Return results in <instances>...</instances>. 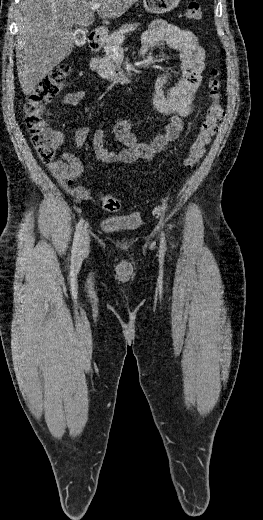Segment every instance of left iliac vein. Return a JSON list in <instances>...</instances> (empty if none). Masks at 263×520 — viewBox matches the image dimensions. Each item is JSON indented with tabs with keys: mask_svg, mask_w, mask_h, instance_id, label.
Segmentation results:
<instances>
[{
	"mask_svg": "<svg viewBox=\"0 0 263 520\" xmlns=\"http://www.w3.org/2000/svg\"><path fill=\"white\" fill-rule=\"evenodd\" d=\"M161 241L164 243V237L163 236L161 237Z\"/></svg>",
	"mask_w": 263,
	"mask_h": 520,
	"instance_id": "left-iliac-vein-1",
	"label": "left iliac vein"
}]
</instances>
